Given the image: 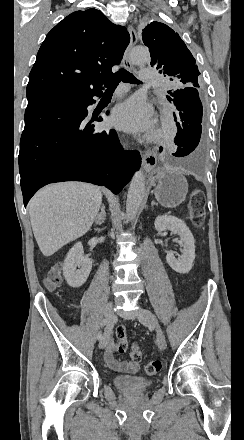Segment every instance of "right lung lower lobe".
Wrapping results in <instances>:
<instances>
[{
	"label": "right lung lower lobe",
	"mask_w": 244,
	"mask_h": 440,
	"mask_svg": "<svg viewBox=\"0 0 244 440\" xmlns=\"http://www.w3.org/2000/svg\"><path fill=\"white\" fill-rule=\"evenodd\" d=\"M101 95L98 89L75 99L28 100L18 157L25 207L38 189L54 182H90L117 194L139 169L140 154L124 151L114 129L85 125L92 97Z\"/></svg>",
	"instance_id": "1"
}]
</instances>
